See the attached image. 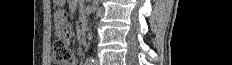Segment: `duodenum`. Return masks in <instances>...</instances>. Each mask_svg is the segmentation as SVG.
Masks as SVG:
<instances>
[{
    "label": "duodenum",
    "instance_id": "obj_1",
    "mask_svg": "<svg viewBox=\"0 0 232 65\" xmlns=\"http://www.w3.org/2000/svg\"><path fill=\"white\" fill-rule=\"evenodd\" d=\"M86 39H87V29L85 26H83L81 29V41L85 43Z\"/></svg>",
    "mask_w": 232,
    "mask_h": 65
}]
</instances>
